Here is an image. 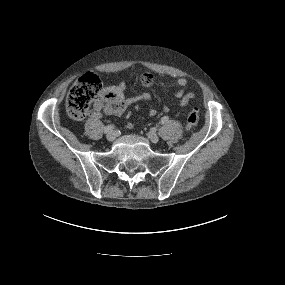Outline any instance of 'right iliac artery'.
<instances>
[{"label": "right iliac artery", "mask_w": 285, "mask_h": 285, "mask_svg": "<svg viewBox=\"0 0 285 285\" xmlns=\"http://www.w3.org/2000/svg\"><path fill=\"white\" fill-rule=\"evenodd\" d=\"M113 129H114V125L110 124V125H107L106 127H104V132L109 133V132L113 131Z\"/></svg>", "instance_id": "obj_1"}]
</instances>
